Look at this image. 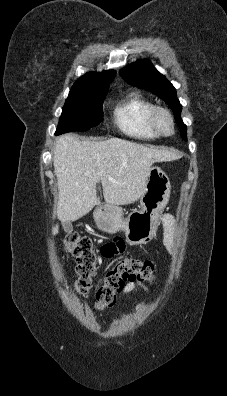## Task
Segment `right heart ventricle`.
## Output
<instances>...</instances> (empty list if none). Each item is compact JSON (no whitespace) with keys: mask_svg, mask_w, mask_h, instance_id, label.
Returning <instances> with one entry per match:
<instances>
[{"mask_svg":"<svg viewBox=\"0 0 227 396\" xmlns=\"http://www.w3.org/2000/svg\"><path fill=\"white\" fill-rule=\"evenodd\" d=\"M153 103L142 95L131 92L119 101L113 110L117 127L126 135L137 139H156L160 135L150 123Z\"/></svg>","mask_w":227,"mask_h":396,"instance_id":"e07e8e85","label":"right heart ventricle"}]
</instances>
